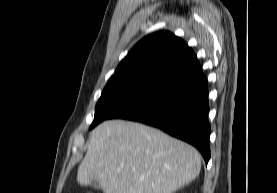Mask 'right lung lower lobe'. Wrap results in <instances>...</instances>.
<instances>
[{"label": "right lung lower lobe", "instance_id": "obj_1", "mask_svg": "<svg viewBox=\"0 0 277 193\" xmlns=\"http://www.w3.org/2000/svg\"><path fill=\"white\" fill-rule=\"evenodd\" d=\"M207 79L202 70L149 93L112 118L127 119L157 127L195 146L210 159Z\"/></svg>", "mask_w": 277, "mask_h": 193}]
</instances>
